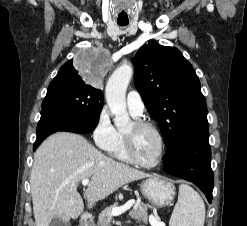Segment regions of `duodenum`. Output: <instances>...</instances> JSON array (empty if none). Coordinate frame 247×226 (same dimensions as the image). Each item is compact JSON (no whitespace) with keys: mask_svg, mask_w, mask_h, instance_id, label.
Segmentation results:
<instances>
[{"mask_svg":"<svg viewBox=\"0 0 247 226\" xmlns=\"http://www.w3.org/2000/svg\"><path fill=\"white\" fill-rule=\"evenodd\" d=\"M88 217L87 216H85V219H84V223H83V225L82 226H87V224H88Z\"/></svg>","mask_w":247,"mask_h":226,"instance_id":"duodenum-1","label":"duodenum"}]
</instances>
